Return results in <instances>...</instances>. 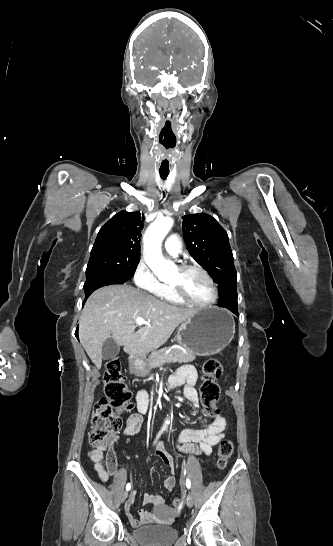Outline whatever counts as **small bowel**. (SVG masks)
<instances>
[{
  "mask_svg": "<svg viewBox=\"0 0 333 546\" xmlns=\"http://www.w3.org/2000/svg\"><path fill=\"white\" fill-rule=\"evenodd\" d=\"M170 381L176 386H184V396L192 403L194 408L197 407V392L195 384L197 381V371L194 366L186 365L179 368ZM150 406V396L147 390L141 389L136 394V407L138 413L131 414L126 421V427L123 435L132 437L137 434L143 425V415H145ZM226 433V419L218 413L213 418L212 422L198 429H185L177 438V447L180 451L187 454L205 455L211 454L212 449L216 446ZM105 454V463H104ZM155 456L166 465L172 473L176 470V465L170 454L166 451L164 444H158ZM89 457L94 463V468L99 475V478L106 482L111 477H117L119 467L117 463L116 452L112 447H95L89 452ZM176 485V478L172 474L164 480V487L167 491H172ZM135 499V493L132 492L125 503V513L133 527H139L147 524H168L172 521L174 512L167 507L163 497L159 495L144 494L143 503L152 505L153 511L141 509L137 515H133L132 506Z\"/></svg>",
  "mask_w": 333,
  "mask_h": 546,
  "instance_id": "obj_1",
  "label": "small bowel"
}]
</instances>
